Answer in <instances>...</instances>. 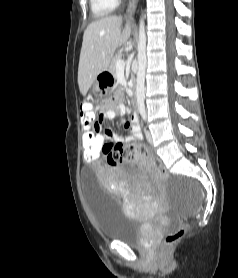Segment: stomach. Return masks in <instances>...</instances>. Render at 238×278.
Instances as JSON below:
<instances>
[{
  "label": "stomach",
  "mask_w": 238,
  "mask_h": 278,
  "mask_svg": "<svg viewBox=\"0 0 238 278\" xmlns=\"http://www.w3.org/2000/svg\"><path fill=\"white\" fill-rule=\"evenodd\" d=\"M114 74L111 69H100V74H95L93 84H90L91 99H107L109 86L114 85Z\"/></svg>",
  "instance_id": "stomach-1"
}]
</instances>
